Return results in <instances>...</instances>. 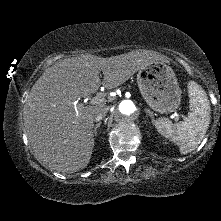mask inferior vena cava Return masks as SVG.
Masks as SVG:
<instances>
[{"label":"inferior vena cava","instance_id":"inferior-vena-cava-1","mask_svg":"<svg viewBox=\"0 0 221 221\" xmlns=\"http://www.w3.org/2000/svg\"><path fill=\"white\" fill-rule=\"evenodd\" d=\"M109 111V108L108 107H104L100 110V112L96 115L95 117V121L96 122H99L101 121L107 114V112Z\"/></svg>","mask_w":221,"mask_h":221}]
</instances>
